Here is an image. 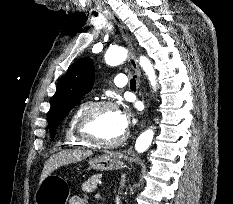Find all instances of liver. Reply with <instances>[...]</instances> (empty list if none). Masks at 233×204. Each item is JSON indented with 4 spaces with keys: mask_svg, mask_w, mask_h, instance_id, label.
I'll list each match as a JSON object with an SVG mask.
<instances>
[{
    "mask_svg": "<svg viewBox=\"0 0 233 204\" xmlns=\"http://www.w3.org/2000/svg\"><path fill=\"white\" fill-rule=\"evenodd\" d=\"M92 155V151H85L80 149L63 150L52 155L45 163L39 184L49 176L53 171L61 166L70 163H76Z\"/></svg>",
    "mask_w": 233,
    "mask_h": 204,
    "instance_id": "liver-1",
    "label": "liver"
}]
</instances>
